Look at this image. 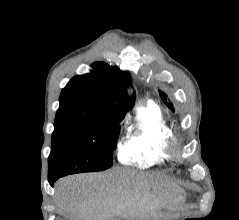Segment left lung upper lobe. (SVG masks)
Returning <instances> with one entry per match:
<instances>
[{"label":"left lung upper lobe","mask_w":239,"mask_h":220,"mask_svg":"<svg viewBox=\"0 0 239 220\" xmlns=\"http://www.w3.org/2000/svg\"><path fill=\"white\" fill-rule=\"evenodd\" d=\"M159 95L161 97V100L166 104V106L172 111L175 112V108L173 106V103L170 101V99L168 98L167 94L159 91Z\"/></svg>","instance_id":"obj_1"}]
</instances>
